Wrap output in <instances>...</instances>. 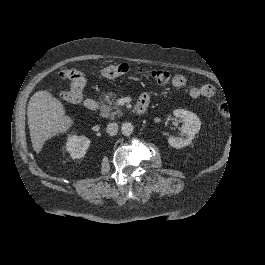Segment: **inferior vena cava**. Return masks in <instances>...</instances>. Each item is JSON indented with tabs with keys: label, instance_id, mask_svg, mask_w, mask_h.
<instances>
[{
	"label": "inferior vena cava",
	"instance_id": "1",
	"mask_svg": "<svg viewBox=\"0 0 265 265\" xmlns=\"http://www.w3.org/2000/svg\"><path fill=\"white\" fill-rule=\"evenodd\" d=\"M107 132L111 136H115L118 132V124L117 123H109L107 125Z\"/></svg>",
	"mask_w": 265,
	"mask_h": 265
}]
</instances>
